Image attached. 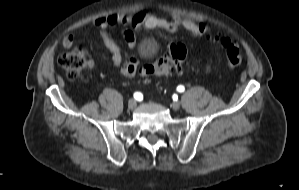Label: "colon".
Listing matches in <instances>:
<instances>
[{"mask_svg": "<svg viewBox=\"0 0 299 190\" xmlns=\"http://www.w3.org/2000/svg\"><path fill=\"white\" fill-rule=\"evenodd\" d=\"M212 42L221 46L225 50L227 65L230 68L239 67L243 62V57L238 47L231 39L214 36ZM189 48L183 43H173L151 64H147L140 70L143 80L147 81L151 77L170 75L172 72H181L182 65L188 57ZM60 66L66 71L69 79L80 80L87 62V51L82 46H72V48L59 57Z\"/></svg>", "mask_w": 299, "mask_h": 190, "instance_id": "1", "label": "colon"}]
</instances>
